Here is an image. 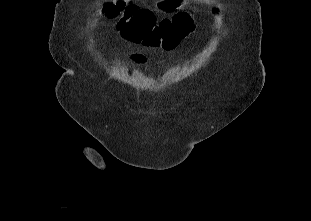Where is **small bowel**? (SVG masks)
<instances>
[{"mask_svg": "<svg viewBox=\"0 0 311 221\" xmlns=\"http://www.w3.org/2000/svg\"><path fill=\"white\" fill-rule=\"evenodd\" d=\"M146 62V56L143 53L136 52L131 56V63L144 64Z\"/></svg>", "mask_w": 311, "mask_h": 221, "instance_id": "small-bowel-1", "label": "small bowel"}]
</instances>
